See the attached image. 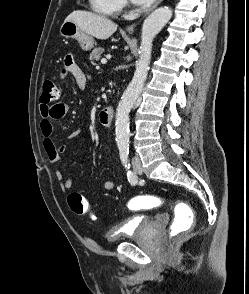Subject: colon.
I'll return each mask as SVG.
<instances>
[{
    "label": "colon",
    "mask_w": 249,
    "mask_h": 294,
    "mask_svg": "<svg viewBox=\"0 0 249 294\" xmlns=\"http://www.w3.org/2000/svg\"><path fill=\"white\" fill-rule=\"evenodd\" d=\"M60 96V92L56 83L51 79H46L42 84L41 101L45 104H49L57 100ZM67 135V134H66ZM65 135V136H66ZM68 203L71 210L80 216L94 217V213L90 210L88 201L78 193H72L68 196ZM165 203L164 199L154 196H140L132 198L127 203V209L129 211H139L142 209L156 208ZM194 216L189 209V213L186 215H177V217L170 223L168 227L169 238L174 240L183 232L190 229L193 225Z\"/></svg>",
    "instance_id": "obj_1"
}]
</instances>
